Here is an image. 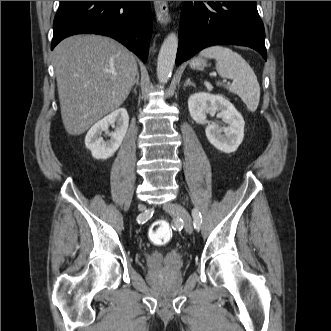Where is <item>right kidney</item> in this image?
I'll return each mask as SVG.
<instances>
[{
  "mask_svg": "<svg viewBox=\"0 0 331 331\" xmlns=\"http://www.w3.org/2000/svg\"><path fill=\"white\" fill-rule=\"evenodd\" d=\"M129 125V116L124 108L117 109L95 123L85 137L86 148L95 159H108L120 147ZM115 130L109 132V127ZM108 133L110 139L104 140L102 133Z\"/></svg>",
  "mask_w": 331,
  "mask_h": 331,
  "instance_id": "1",
  "label": "right kidney"
}]
</instances>
